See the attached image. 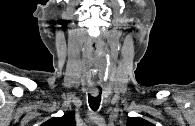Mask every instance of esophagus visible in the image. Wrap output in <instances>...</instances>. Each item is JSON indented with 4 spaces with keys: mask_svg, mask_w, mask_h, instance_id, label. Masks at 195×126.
Returning <instances> with one entry per match:
<instances>
[{
    "mask_svg": "<svg viewBox=\"0 0 195 126\" xmlns=\"http://www.w3.org/2000/svg\"><path fill=\"white\" fill-rule=\"evenodd\" d=\"M98 90L96 88L92 89V93L95 96L97 94Z\"/></svg>",
    "mask_w": 195,
    "mask_h": 126,
    "instance_id": "esophagus-1",
    "label": "esophagus"
}]
</instances>
